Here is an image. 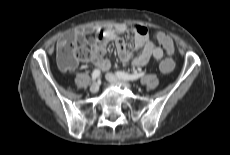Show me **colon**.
Here are the masks:
<instances>
[{
	"label": "colon",
	"mask_w": 230,
	"mask_h": 155,
	"mask_svg": "<svg viewBox=\"0 0 230 155\" xmlns=\"http://www.w3.org/2000/svg\"><path fill=\"white\" fill-rule=\"evenodd\" d=\"M92 58V51L86 47H73L72 44H60L56 59L63 70L72 69L79 61H88ZM160 69L164 73H171L175 69V62L171 58H164L160 62Z\"/></svg>",
	"instance_id": "colon-1"
}]
</instances>
